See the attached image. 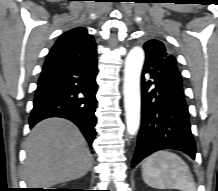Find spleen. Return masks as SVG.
I'll list each match as a JSON object with an SVG mask.
<instances>
[{
	"instance_id": "3e777b00",
	"label": "spleen",
	"mask_w": 218,
	"mask_h": 191,
	"mask_svg": "<svg viewBox=\"0 0 218 191\" xmlns=\"http://www.w3.org/2000/svg\"><path fill=\"white\" fill-rule=\"evenodd\" d=\"M144 182L157 189L196 191L188 165L177 154L161 150L150 155L142 164Z\"/></svg>"
}]
</instances>
